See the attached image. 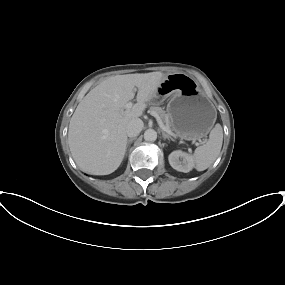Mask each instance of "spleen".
Returning a JSON list of instances; mask_svg holds the SVG:
<instances>
[{"label":"spleen","instance_id":"spleen-1","mask_svg":"<svg viewBox=\"0 0 285 285\" xmlns=\"http://www.w3.org/2000/svg\"><path fill=\"white\" fill-rule=\"evenodd\" d=\"M223 143V131L220 124H216L209 134V139L203 146L196 148L193 154L195 168L204 171L209 168L220 154Z\"/></svg>","mask_w":285,"mask_h":285}]
</instances>
